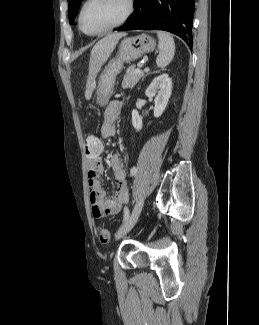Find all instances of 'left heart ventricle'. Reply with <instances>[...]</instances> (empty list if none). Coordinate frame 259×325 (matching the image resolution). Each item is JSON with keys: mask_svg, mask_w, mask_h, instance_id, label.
I'll list each match as a JSON object with an SVG mask.
<instances>
[{"mask_svg": "<svg viewBox=\"0 0 259 325\" xmlns=\"http://www.w3.org/2000/svg\"><path fill=\"white\" fill-rule=\"evenodd\" d=\"M125 0H91L82 15L88 32H98L117 22L125 13Z\"/></svg>", "mask_w": 259, "mask_h": 325, "instance_id": "1", "label": "left heart ventricle"}]
</instances>
